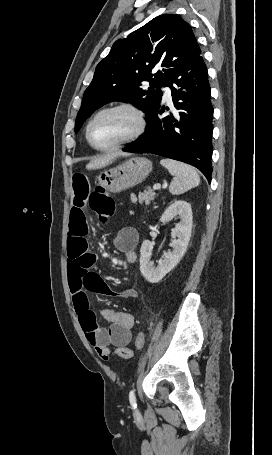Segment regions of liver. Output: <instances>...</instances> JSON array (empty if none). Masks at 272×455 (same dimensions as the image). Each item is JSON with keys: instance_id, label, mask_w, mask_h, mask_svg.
<instances>
[{"instance_id": "6515ba94", "label": "liver", "mask_w": 272, "mask_h": 455, "mask_svg": "<svg viewBox=\"0 0 272 455\" xmlns=\"http://www.w3.org/2000/svg\"><path fill=\"white\" fill-rule=\"evenodd\" d=\"M115 157H116L115 154H108V155H104V156L95 158L86 165V168L91 170V169H99V168L106 167L107 165L112 163V161Z\"/></svg>"}]
</instances>
